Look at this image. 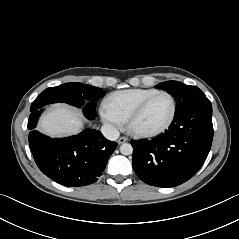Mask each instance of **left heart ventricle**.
I'll return each mask as SVG.
<instances>
[{
  "label": "left heart ventricle",
  "mask_w": 239,
  "mask_h": 239,
  "mask_svg": "<svg viewBox=\"0 0 239 239\" xmlns=\"http://www.w3.org/2000/svg\"><path fill=\"white\" fill-rule=\"evenodd\" d=\"M171 113V99L166 95L156 96L134 121L133 127L144 132L157 130L169 120Z\"/></svg>",
  "instance_id": "obj_1"
}]
</instances>
